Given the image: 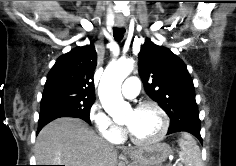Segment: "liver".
<instances>
[{
    "label": "liver",
    "mask_w": 236,
    "mask_h": 166,
    "mask_svg": "<svg viewBox=\"0 0 236 166\" xmlns=\"http://www.w3.org/2000/svg\"><path fill=\"white\" fill-rule=\"evenodd\" d=\"M118 149L84 121L63 117L47 124L35 143L37 165L117 166Z\"/></svg>",
    "instance_id": "6515ba94"
}]
</instances>
